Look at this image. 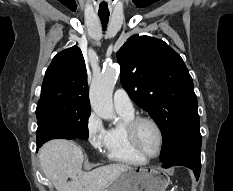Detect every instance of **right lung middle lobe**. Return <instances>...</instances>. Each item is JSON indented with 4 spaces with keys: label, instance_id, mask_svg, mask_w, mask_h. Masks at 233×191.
<instances>
[{
    "label": "right lung middle lobe",
    "instance_id": "right-lung-middle-lobe-1",
    "mask_svg": "<svg viewBox=\"0 0 233 191\" xmlns=\"http://www.w3.org/2000/svg\"><path fill=\"white\" fill-rule=\"evenodd\" d=\"M38 128L37 143L53 138H88L90 109L56 102H38L36 108Z\"/></svg>",
    "mask_w": 233,
    "mask_h": 191
}]
</instances>
